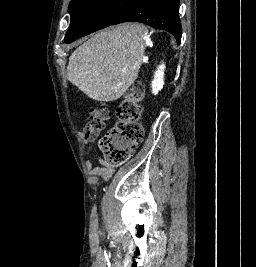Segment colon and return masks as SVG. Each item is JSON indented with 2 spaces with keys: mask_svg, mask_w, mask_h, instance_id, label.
<instances>
[{
  "mask_svg": "<svg viewBox=\"0 0 256 267\" xmlns=\"http://www.w3.org/2000/svg\"><path fill=\"white\" fill-rule=\"evenodd\" d=\"M143 86H133L124 96L117 108L118 123L101 140L100 148L105 160L111 165L126 162L135 146L142 139L139 119L143 113ZM107 108L91 109L89 120L83 128L84 138L93 139L101 133L109 119Z\"/></svg>",
  "mask_w": 256,
  "mask_h": 267,
  "instance_id": "1",
  "label": "colon"
}]
</instances>
